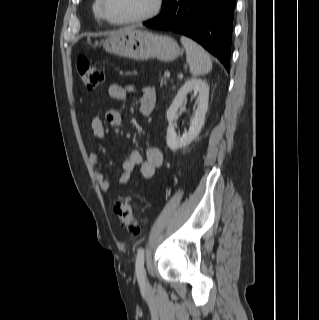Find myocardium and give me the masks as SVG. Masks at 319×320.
I'll list each match as a JSON object with an SVG mask.
<instances>
[{"label": "myocardium", "mask_w": 319, "mask_h": 320, "mask_svg": "<svg viewBox=\"0 0 319 320\" xmlns=\"http://www.w3.org/2000/svg\"><path fill=\"white\" fill-rule=\"evenodd\" d=\"M99 1H100V13H101L102 18L104 20H106L108 23L113 24V25H127V24L140 23V22L150 20V19L156 17L160 13V11L163 7V0H155L154 7L152 8L151 11H149L146 14L132 17L129 19H124V20H113L109 17V15L106 11V0H99Z\"/></svg>", "instance_id": "myocardium-1"}]
</instances>
